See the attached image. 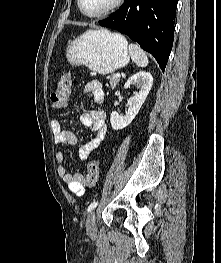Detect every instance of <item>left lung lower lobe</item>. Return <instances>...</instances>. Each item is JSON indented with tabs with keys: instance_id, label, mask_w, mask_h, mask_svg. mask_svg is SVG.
I'll use <instances>...</instances> for the list:
<instances>
[{
	"instance_id": "left-lung-lower-lobe-1",
	"label": "left lung lower lobe",
	"mask_w": 221,
	"mask_h": 263,
	"mask_svg": "<svg viewBox=\"0 0 221 263\" xmlns=\"http://www.w3.org/2000/svg\"><path fill=\"white\" fill-rule=\"evenodd\" d=\"M177 0H125L103 27L128 35L151 53L164 71L174 39Z\"/></svg>"
}]
</instances>
